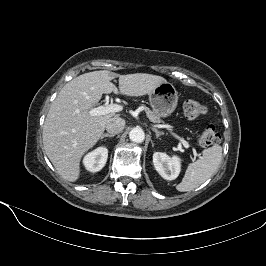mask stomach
<instances>
[{"label": "stomach", "instance_id": "0dacf381", "mask_svg": "<svg viewBox=\"0 0 266 266\" xmlns=\"http://www.w3.org/2000/svg\"><path fill=\"white\" fill-rule=\"evenodd\" d=\"M149 101L154 113L165 118L175 110L178 93L172 83L164 82L149 93Z\"/></svg>", "mask_w": 266, "mask_h": 266}]
</instances>
